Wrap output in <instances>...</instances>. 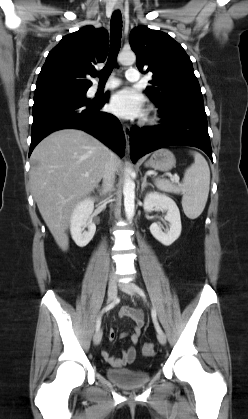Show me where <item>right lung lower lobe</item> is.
Masks as SVG:
<instances>
[{
    "label": "right lung lower lobe",
    "mask_w": 248,
    "mask_h": 419,
    "mask_svg": "<svg viewBox=\"0 0 248 419\" xmlns=\"http://www.w3.org/2000/svg\"><path fill=\"white\" fill-rule=\"evenodd\" d=\"M107 101L108 94L91 101L68 96L34 99L29 155L48 134L64 128H76L95 136L122 157L125 151L122 126L112 114L99 111Z\"/></svg>",
    "instance_id": "98d812e1"
}]
</instances>
